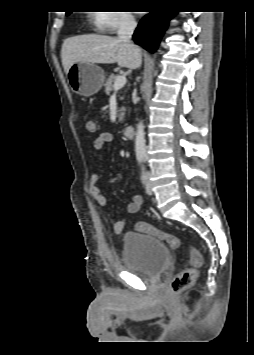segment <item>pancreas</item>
I'll use <instances>...</instances> for the list:
<instances>
[{
  "label": "pancreas",
  "instance_id": "cf45deb5",
  "mask_svg": "<svg viewBox=\"0 0 254 355\" xmlns=\"http://www.w3.org/2000/svg\"><path fill=\"white\" fill-rule=\"evenodd\" d=\"M118 77V75L115 74H111L108 79L106 80V83L104 84L105 86V92L107 95H109L113 90H114V82L116 80V78ZM123 99V98H122ZM124 108H121L119 111V122H121L124 118Z\"/></svg>",
  "mask_w": 254,
  "mask_h": 355
}]
</instances>
